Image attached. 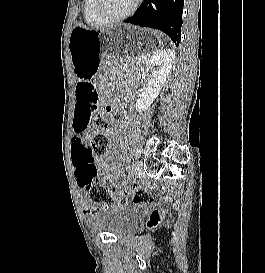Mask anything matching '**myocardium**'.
Wrapping results in <instances>:
<instances>
[{
	"label": "myocardium",
	"instance_id": "obj_1",
	"mask_svg": "<svg viewBox=\"0 0 265 273\" xmlns=\"http://www.w3.org/2000/svg\"><path fill=\"white\" fill-rule=\"evenodd\" d=\"M140 2H141V0H135L133 5L131 6V8L122 14L109 15L106 13V11L104 9L105 0H95L94 11H95L96 15L98 16V18L100 20H102L103 22H105L107 24L108 23H115V22L124 20V19L128 18L129 16H131L137 10Z\"/></svg>",
	"mask_w": 265,
	"mask_h": 273
}]
</instances>
